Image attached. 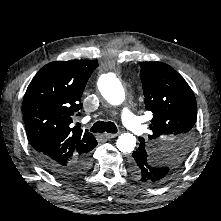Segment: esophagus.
I'll list each match as a JSON object with an SVG mask.
<instances>
[{
  "label": "esophagus",
  "mask_w": 221,
  "mask_h": 221,
  "mask_svg": "<svg viewBox=\"0 0 221 221\" xmlns=\"http://www.w3.org/2000/svg\"><path fill=\"white\" fill-rule=\"evenodd\" d=\"M104 135L108 139H112V138H115L117 136V134H111V133H105Z\"/></svg>",
  "instance_id": "34e87169"
}]
</instances>
